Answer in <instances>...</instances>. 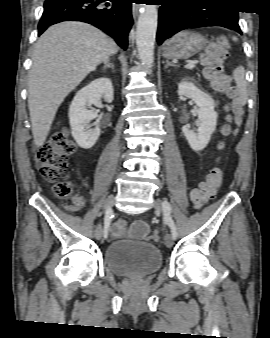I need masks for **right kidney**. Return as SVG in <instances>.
Returning a JSON list of instances; mask_svg holds the SVG:
<instances>
[{
	"label": "right kidney",
	"mask_w": 270,
	"mask_h": 338,
	"mask_svg": "<svg viewBox=\"0 0 270 338\" xmlns=\"http://www.w3.org/2000/svg\"><path fill=\"white\" fill-rule=\"evenodd\" d=\"M104 98L107 102L113 100V86L109 78H99L78 91L69 107L71 133L76 143L84 149L94 146L100 136V128L90 129L88 124L97 117V112L88 109Z\"/></svg>",
	"instance_id": "1"
}]
</instances>
